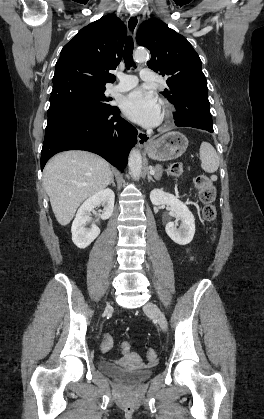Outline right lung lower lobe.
Listing matches in <instances>:
<instances>
[{"instance_id":"98d812e1","label":"right lung lower lobe","mask_w":264,"mask_h":419,"mask_svg":"<svg viewBox=\"0 0 264 419\" xmlns=\"http://www.w3.org/2000/svg\"><path fill=\"white\" fill-rule=\"evenodd\" d=\"M137 130L120 117L118 107L97 109L64 106L50 116L41 152V169L56 153L86 150L96 153L123 172Z\"/></svg>"}]
</instances>
